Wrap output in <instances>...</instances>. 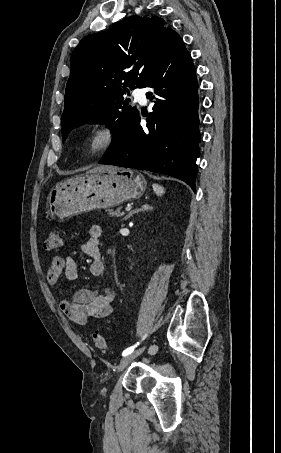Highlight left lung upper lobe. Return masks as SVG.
I'll return each mask as SVG.
<instances>
[{
	"label": "left lung upper lobe",
	"mask_w": 281,
	"mask_h": 453,
	"mask_svg": "<svg viewBox=\"0 0 281 453\" xmlns=\"http://www.w3.org/2000/svg\"><path fill=\"white\" fill-rule=\"evenodd\" d=\"M176 36L162 18L131 16L83 38L71 56L62 141L77 126L100 123L112 129L114 148L138 116L123 95L146 87Z\"/></svg>",
	"instance_id": "1"
}]
</instances>
